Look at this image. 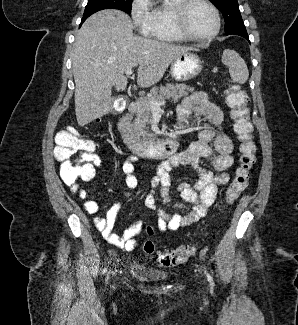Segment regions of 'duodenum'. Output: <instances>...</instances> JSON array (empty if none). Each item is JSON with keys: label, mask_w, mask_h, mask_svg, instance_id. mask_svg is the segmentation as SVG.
<instances>
[{"label": "duodenum", "mask_w": 298, "mask_h": 325, "mask_svg": "<svg viewBox=\"0 0 298 325\" xmlns=\"http://www.w3.org/2000/svg\"><path fill=\"white\" fill-rule=\"evenodd\" d=\"M137 111V104L130 102L127 111L123 114L118 122V131L124 144L136 155L158 158L166 157L173 154L177 149V140L173 137L157 141L138 140L131 131V117ZM179 122L184 121L183 115H180Z\"/></svg>", "instance_id": "duodenum-1"}]
</instances>
